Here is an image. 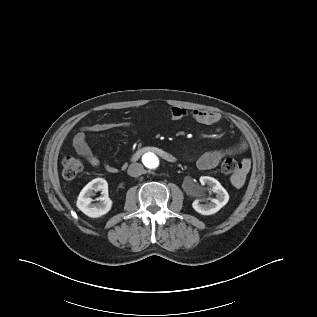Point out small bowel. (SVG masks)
I'll return each mask as SVG.
<instances>
[{"mask_svg": "<svg viewBox=\"0 0 317 317\" xmlns=\"http://www.w3.org/2000/svg\"><path fill=\"white\" fill-rule=\"evenodd\" d=\"M170 117L173 120H180L186 116H191L196 122L203 125H215L221 121V115L218 112L207 111V110H193L189 112L185 108L179 106H173L169 109ZM111 126L121 127L129 130H133V124L129 121L116 122L112 124H92L84 126L81 130L74 136L72 144L78 155L83 157L88 164L92 167L97 168L100 166V159L95 153L92 152L87 143V134H97L100 133ZM247 149V143L241 138L234 146L226 149H217L208 151L202 154L196 164L201 170H209L216 167L222 158L226 155L241 154ZM106 171L110 173L117 172V168L110 165L107 162L103 163ZM250 168V161L244 159L242 161V170L239 174L232 178V183L236 187L243 185L245 181V176Z\"/></svg>", "mask_w": 317, "mask_h": 317, "instance_id": "1", "label": "small bowel"}]
</instances>
